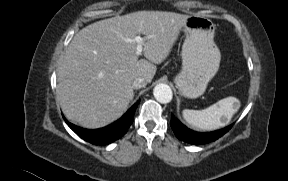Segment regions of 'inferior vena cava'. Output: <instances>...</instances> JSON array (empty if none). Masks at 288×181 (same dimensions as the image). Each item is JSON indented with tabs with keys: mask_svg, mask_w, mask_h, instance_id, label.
Masks as SVG:
<instances>
[{
	"mask_svg": "<svg viewBox=\"0 0 288 181\" xmlns=\"http://www.w3.org/2000/svg\"><path fill=\"white\" fill-rule=\"evenodd\" d=\"M133 88L134 89H139V88H143L146 86V81L144 78L142 77H138L133 81Z\"/></svg>",
	"mask_w": 288,
	"mask_h": 181,
	"instance_id": "obj_1",
	"label": "inferior vena cava"
}]
</instances>
